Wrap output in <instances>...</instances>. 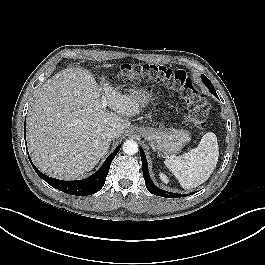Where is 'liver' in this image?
Wrapping results in <instances>:
<instances>
[{"label":"liver","instance_id":"liver-1","mask_svg":"<svg viewBox=\"0 0 265 265\" xmlns=\"http://www.w3.org/2000/svg\"><path fill=\"white\" fill-rule=\"evenodd\" d=\"M102 96L110 111L102 108ZM140 111L133 95L108 82L100 86L88 69H64L42 85L28 113L27 141L34 163L53 178L74 180L107 154V131L121 137L130 126L125 118Z\"/></svg>","mask_w":265,"mask_h":265}]
</instances>
